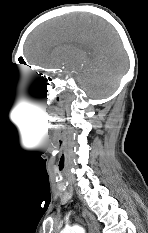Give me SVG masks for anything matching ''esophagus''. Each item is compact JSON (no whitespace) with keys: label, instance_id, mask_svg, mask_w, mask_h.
<instances>
[{"label":"esophagus","instance_id":"esophagus-1","mask_svg":"<svg viewBox=\"0 0 148 233\" xmlns=\"http://www.w3.org/2000/svg\"><path fill=\"white\" fill-rule=\"evenodd\" d=\"M83 216L88 224L89 233H100L97 222L85 207H83Z\"/></svg>","mask_w":148,"mask_h":233}]
</instances>
